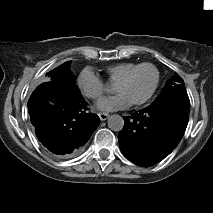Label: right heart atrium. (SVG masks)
Instances as JSON below:
<instances>
[{
	"instance_id": "right-heart-atrium-1",
	"label": "right heart atrium",
	"mask_w": 213,
	"mask_h": 213,
	"mask_svg": "<svg viewBox=\"0 0 213 213\" xmlns=\"http://www.w3.org/2000/svg\"><path fill=\"white\" fill-rule=\"evenodd\" d=\"M78 86L86 97L94 100L101 99L108 89L104 80L89 68L79 75Z\"/></svg>"
}]
</instances>
